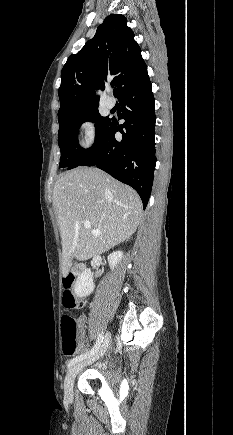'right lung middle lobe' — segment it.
Segmentation results:
<instances>
[{
	"label": "right lung middle lobe",
	"instance_id": "dd1d6c3e",
	"mask_svg": "<svg viewBox=\"0 0 233 435\" xmlns=\"http://www.w3.org/2000/svg\"><path fill=\"white\" fill-rule=\"evenodd\" d=\"M58 121V144L61 150L59 167H68V170L79 166L87 158L111 123L110 118L102 117L99 114L98 107L82 114L58 118ZM85 121L94 122L96 128L95 142L91 148L86 150L81 148L78 143L79 127Z\"/></svg>",
	"mask_w": 233,
	"mask_h": 435
}]
</instances>
